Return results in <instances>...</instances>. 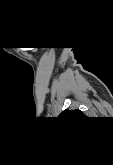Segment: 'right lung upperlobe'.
Here are the masks:
<instances>
[{
	"label": "right lung upper lobe",
	"instance_id": "1",
	"mask_svg": "<svg viewBox=\"0 0 113 165\" xmlns=\"http://www.w3.org/2000/svg\"><path fill=\"white\" fill-rule=\"evenodd\" d=\"M59 117L61 118H83L84 117V113L81 112L79 109L76 110H65L63 111Z\"/></svg>",
	"mask_w": 113,
	"mask_h": 165
}]
</instances>
